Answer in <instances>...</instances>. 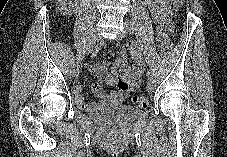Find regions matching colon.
<instances>
[{
	"mask_svg": "<svg viewBox=\"0 0 227 157\" xmlns=\"http://www.w3.org/2000/svg\"><path fill=\"white\" fill-rule=\"evenodd\" d=\"M183 0H172V5L176 10H179L182 6ZM157 37L160 42V48L166 51L170 48L171 43L167 28L164 26H159L157 29ZM132 102L139 107L145 108L148 105V99L145 96H134Z\"/></svg>",
	"mask_w": 227,
	"mask_h": 157,
	"instance_id": "obj_1",
	"label": "colon"
}]
</instances>
